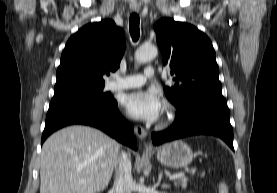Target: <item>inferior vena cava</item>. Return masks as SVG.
Segmentation results:
<instances>
[{"instance_id":"1","label":"inferior vena cava","mask_w":277,"mask_h":193,"mask_svg":"<svg viewBox=\"0 0 277 193\" xmlns=\"http://www.w3.org/2000/svg\"><path fill=\"white\" fill-rule=\"evenodd\" d=\"M116 177L113 185L114 193H131L133 179L131 161L125 152H121L117 159Z\"/></svg>"}]
</instances>
